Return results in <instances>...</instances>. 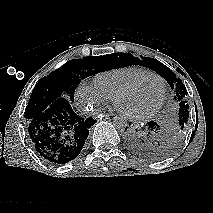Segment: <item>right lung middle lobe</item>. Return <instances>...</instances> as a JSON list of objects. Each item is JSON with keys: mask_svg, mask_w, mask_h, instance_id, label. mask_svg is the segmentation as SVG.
I'll list each match as a JSON object with an SVG mask.
<instances>
[{"mask_svg": "<svg viewBox=\"0 0 213 213\" xmlns=\"http://www.w3.org/2000/svg\"><path fill=\"white\" fill-rule=\"evenodd\" d=\"M114 55L116 54L70 60L48 76L40 79L33 89L25 110L26 122L40 115L60 98L73 101L76 86L80 81L111 68L110 61Z\"/></svg>", "mask_w": 213, "mask_h": 213, "instance_id": "dd1d6c3e", "label": "right lung middle lobe"}]
</instances>
